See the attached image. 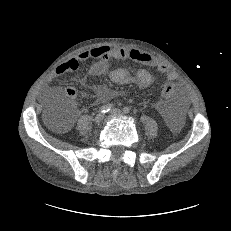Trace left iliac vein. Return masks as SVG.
<instances>
[{"mask_svg":"<svg viewBox=\"0 0 231 231\" xmlns=\"http://www.w3.org/2000/svg\"><path fill=\"white\" fill-rule=\"evenodd\" d=\"M111 113H112V115H116V116H121V115H123L122 111H121L120 109H117V108L113 109V110L111 111Z\"/></svg>","mask_w":231,"mask_h":231,"instance_id":"4c4485c4","label":"left iliac vein"}]
</instances>
